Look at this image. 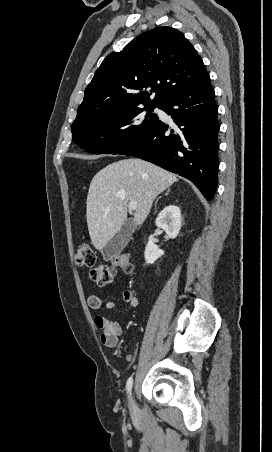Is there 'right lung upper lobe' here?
Here are the masks:
<instances>
[{
	"label": "right lung upper lobe",
	"instance_id": "cb5924a9",
	"mask_svg": "<svg viewBox=\"0 0 272 452\" xmlns=\"http://www.w3.org/2000/svg\"><path fill=\"white\" fill-rule=\"evenodd\" d=\"M207 78L202 59L184 35L158 27L103 60L85 89L76 119L139 105L161 106Z\"/></svg>",
	"mask_w": 272,
	"mask_h": 452
}]
</instances>
